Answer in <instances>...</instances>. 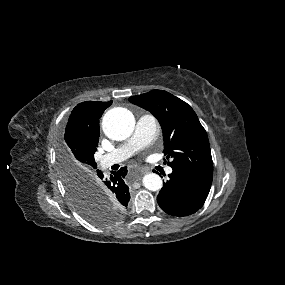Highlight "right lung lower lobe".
<instances>
[{
    "label": "right lung lower lobe",
    "instance_id": "obj_1",
    "mask_svg": "<svg viewBox=\"0 0 285 285\" xmlns=\"http://www.w3.org/2000/svg\"><path fill=\"white\" fill-rule=\"evenodd\" d=\"M126 174L127 167L113 172L109 177L104 176L100 170H96L90 180L91 187L99 194L103 193L125 211L130 200L129 188L124 182Z\"/></svg>",
    "mask_w": 285,
    "mask_h": 285
}]
</instances>
